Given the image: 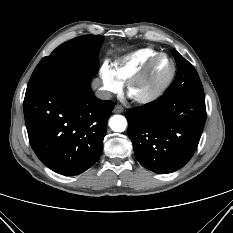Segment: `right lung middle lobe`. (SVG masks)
I'll list each match as a JSON object with an SVG mask.
<instances>
[{
  "mask_svg": "<svg viewBox=\"0 0 233 233\" xmlns=\"http://www.w3.org/2000/svg\"><path fill=\"white\" fill-rule=\"evenodd\" d=\"M103 40L101 35H84L61 44L39 62L29 80L25 97L59 81L94 74L98 68L96 50Z\"/></svg>",
  "mask_w": 233,
  "mask_h": 233,
  "instance_id": "right-lung-middle-lobe-1",
  "label": "right lung middle lobe"
}]
</instances>
